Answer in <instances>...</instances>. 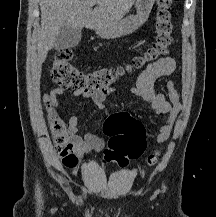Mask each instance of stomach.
I'll list each match as a JSON object with an SVG mask.
<instances>
[{
	"label": "stomach",
	"instance_id": "1",
	"mask_svg": "<svg viewBox=\"0 0 216 217\" xmlns=\"http://www.w3.org/2000/svg\"><path fill=\"white\" fill-rule=\"evenodd\" d=\"M155 0H136V15L129 16L111 27L96 29L103 38H116L133 33L148 19Z\"/></svg>",
	"mask_w": 216,
	"mask_h": 217
}]
</instances>
